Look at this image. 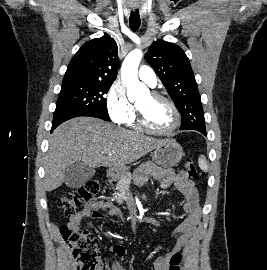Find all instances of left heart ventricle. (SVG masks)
<instances>
[{
  "instance_id": "left-heart-ventricle-1",
  "label": "left heart ventricle",
  "mask_w": 267,
  "mask_h": 270,
  "mask_svg": "<svg viewBox=\"0 0 267 270\" xmlns=\"http://www.w3.org/2000/svg\"><path fill=\"white\" fill-rule=\"evenodd\" d=\"M147 125L151 128L164 131L173 124V113L170 107L163 101L154 99L150 94L143 97L137 103Z\"/></svg>"
}]
</instances>
